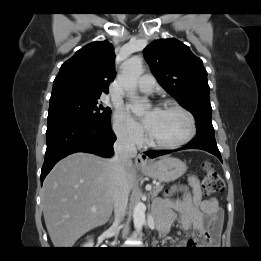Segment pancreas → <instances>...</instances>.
<instances>
[{"label": "pancreas", "instance_id": "obj_1", "mask_svg": "<svg viewBox=\"0 0 261 261\" xmlns=\"http://www.w3.org/2000/svg\"><path fill=\"white\" fill-rule=\"evenodd\" d=\"M162 189H163V185H154L152 187L150 194L152 195V197H156L159 194V192L162 191Z\"/></svg>", "mask_w": 261, "mask_h": 261}]
</instances>
